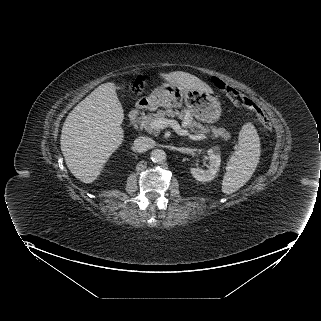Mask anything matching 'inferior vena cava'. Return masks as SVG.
I'll return each instance as SVG.
<instances>
[{
	"label": "inferior vena cava",
	"instance_id": "obj_1",
	"mask_svg": "<svg viewBox=\"0 0 321 321\" xmlns=\"http://www.w3.org/2000/svg\"><path fill=\"white\" fill-rule=\"evenodd\" d=\"M155 145V141L149 137L140 136L134 141V148L138 152H144L151 149Z\"/></svg>",
	"mask_w": 321,
	"mask_h": 321
}]
</instances>
